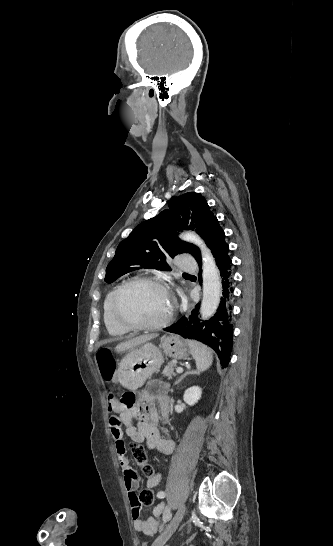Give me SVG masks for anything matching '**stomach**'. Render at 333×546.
<instances>
[{
    "label": "stomach",
    "mask_w": 333,
    "mask_h": 546,
    "mask_svg": "<svg viewBox=\"0 0 333 546\" xmlns=\"http://www.w3.org/2000/svg\"><path fill=\"white\" fill-rule=\"evenodd\" d=\"M174 359L186 358L191 352L188 343L176 335L163 336L160 347L146 343L130 350L118 363L120 383L129 390L142 387L163 363V353Z\"/></svg>",
    "instance_id": "obj_1"
}]
</instances>
